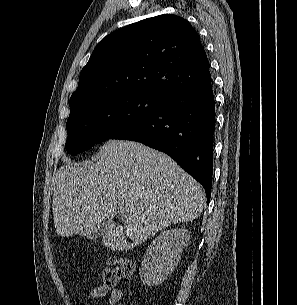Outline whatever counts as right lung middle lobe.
<instances>
[{"instance_id": "obj_1", "label": "right lung middle lobe", "mask_w": 297, "mask_h": 305, "mask_svg": "<svg viewBox=\"0 0 297 305\" xmlns=\"http://www.w3.org/2000/svg\"><path fill=\"white\" fill-rule=\"evenodd\" d=\"M165 97L150 92H130L108 96L70 112L67 120L66 150L77 155L94 144L138 123L150 115Z\"/></svg>"}]
</instances>
